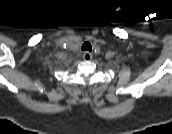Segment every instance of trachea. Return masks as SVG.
Here are the masks:
<instances>
[{"label":"trachea","mask_w":172,"mask_h":134,"mask_svg":"<svg viewBox=\"0 0 172 134\" xmlns=\"http://www.w3.org/2000/svg\"><path fill=\"white\" fill-rule=\"evenodd\" d=\"M82 50H87V51H90L92 50V46L89 42H85L83 45H82Z\"/></svg>","instance_id":"3493384b"}]
</instances>
